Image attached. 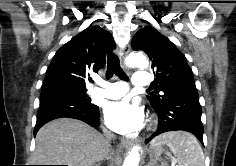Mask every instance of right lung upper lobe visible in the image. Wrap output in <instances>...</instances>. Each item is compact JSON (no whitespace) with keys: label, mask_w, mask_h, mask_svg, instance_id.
<instances>
[{"label":"right lung upper lobe","mask_w":236,"mask_h":166,"mask_svg":"<svg viewBox=\"0 0 236 166\" xmlns=\"http://www.w3.org/2000/svg\"><path fill=\"white\" fill-rule=\"evenodd\" d=\"M114 48L110 33L99 26H89L56 52L43 88L53 85L86 88L88 71L98 72L104 67L106 55Z\"/></svg>","instance_id":"cb5924a9"}]
</instances>
